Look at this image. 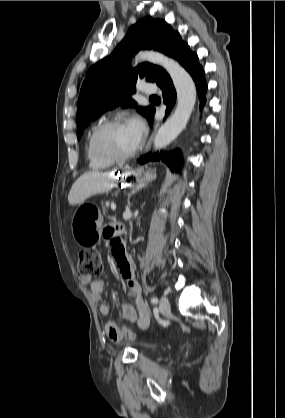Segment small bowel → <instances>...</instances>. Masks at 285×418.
<instances>
[{
    "instance_id": "small-bowel-1",
    "label": "small bowel",
    "mask_w": 285,
    "mask_h": 418,
    "mask_svg": "<svg viewBox=\"0 0 285 418\" xmlns=\"http://www.w3.org/2000/svg\"><path fill=\"white\" fill-rule=\"evenodd\" d=\"M120 230L117 227L107 228L104 232V238L107 241L110 248L116 247V244L120 240ZM120 275L126 280V286L128 293L134 299L135 305L125 303L121 305L120 316L128 321L137 323L141 328L146 329L150 324V314L148 308L141 296V288L135 276V265L134 262L126 258L122 262L116 261ZM81 282L87 283L90 280L87 278H81ZM105 282L103 280H96L91 283L90 294L94 301H99L102 298L104 291ZM99 311L103 316H110L112 314V307L109 304H102L99 307ZM117 327V325H114ZM107 336L112 342H119L123 339V336L119 333H109Z\"/></svg>"
}]
</instances>
